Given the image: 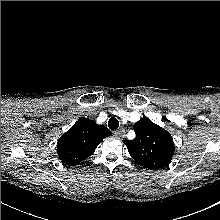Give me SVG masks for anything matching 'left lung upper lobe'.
Instances as JSON below:
<instances>
[{
    "mask_svg": "<svg viewBox=\"0 0 220 220\" xmlns=\"http://www.w3.org/2000/svg\"><path fill=\"white\" fill-rule=\"evenodd\" d=\"M134 129L136 138L124 144L136 163L155 170L166 167L175 151L170 133L146 117L136 122Z\"/></svg>",
    "mask_w": 220,
    "mask_h": 220,
    "instance_id": "obj_1",
    "label": "left lung upper lobe"
}]
</instances>
